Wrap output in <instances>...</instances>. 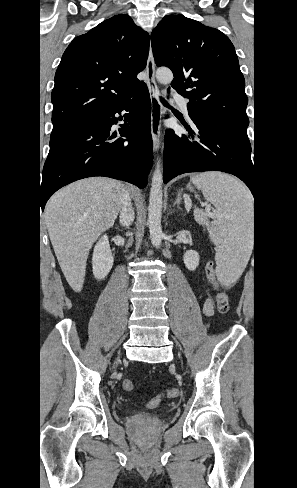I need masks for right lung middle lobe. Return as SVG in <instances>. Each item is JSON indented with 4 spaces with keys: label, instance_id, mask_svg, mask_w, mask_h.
Instances as JSON below:
<instances>
[{
    "label": "right lung middle lobe",
    "instance_id": "obj_1",
    "mask_svg": "<svg viewBox=\"0 0 297 488\" xmlns=\"http://www.w3.org/2000/svg\"><path fill=\"white\" fill-rule=\"evenodd\" d=\"M59 133L60 132H54V133L51 134V136L56 135V134H59Z\"/></svg>",
    "mask_w": 297,
    "mask_h": 488
}]
</instances>
